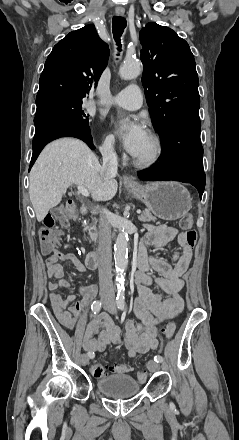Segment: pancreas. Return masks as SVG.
<instances>
[{"mask_svg":"<svg viewBox=\"0 0 239 440\" xmlns=\"http://www.w3.org/2000/svg\"><path fill=\"white\" fill-rule=\"evenodd\" d=\"M139 220H141V222H156L157 218H155V216H152L150 210H143V214L139 216ZM88 230L91 240H94V242H96L98 234L96 218H93V222L92 224H90V226H88Z\"/></svg>","mask_w":239,"mask_h":440,"instance_id":"obj_1","label":"pancreas"}]
</instances>
